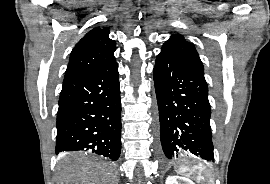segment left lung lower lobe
I'll list each match as a JSON object with an SVG mask.
<instances>
[{
  "mask_svg": "<svg viewBox=\"0 0 270 184\" xmlns=\"http://www.w3.org/2000/svg\"><path fill=\"white\" fill-rule=\"evenodd\" d=\"M153 76L165 163L180 157L214 161L205 78L182 60L163 53L156 58Z\"/></svg>",
  "mask_w": 270,
  "mask_h": 184,
  "instance_id": "0a47b994",
  "label": "left lung lower lobe"
}]
</instances>
